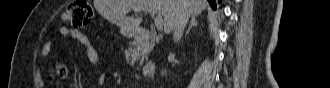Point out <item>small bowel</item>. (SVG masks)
Returning <instances> with one entry per match:
<instances>
[{"mask_svg":"<svg viewBox=\"0 0 330 88\" xmlns=\"http://www.w3.org/2000/svg\"><path fill=\"white\" fill-rule=\"evenodd\" d=\"M60 34L62 36L74 39L77 42H79L81 45H83L85 48V51H86V57H87L88 61L92 65H94L98 68L101 67L100 56L97 53V51L94 49L93 45L91 44L90 39L88 38V36L86 34H84L83 32H81L79 30L71 29L67 26H64L60 29ZM49 50H50L49 46L44 47L42 50V54L46 55L49 52ZM50 78H52V76H50ZM104 80H105V75H104V73H102L99 76L98 81H99V83H103Z\"/></svg>","mask_w":330,"mask_h":88,"instance_id":"1","label":"small bowel"}]
</instances>
